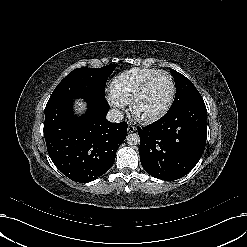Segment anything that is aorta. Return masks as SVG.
<instances>
[{
    "label": "aorta",
    "mask_w": 247,
    "mask_h": 247,
    "mask_svg": "<svg viewBox=\"0 0 247 247\" xmlns=\"http://www.w3.org/2000/svg\"><path fill=\"white\" fill-rule=\"evenodd\" d=\"M126 140L129 145L135 146L140 143V136L137 133H130L126 137Z\"/></svg>",
    "instance_id": "aorta-1"
}]
</instances>
